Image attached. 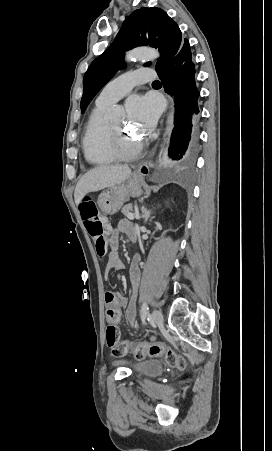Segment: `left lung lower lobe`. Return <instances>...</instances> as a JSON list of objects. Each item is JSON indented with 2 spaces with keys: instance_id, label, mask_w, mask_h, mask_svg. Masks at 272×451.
<instances>
[{
  "instance_id": "0a47b994",
  "label": "left lung lower lobe",
  "mask_w": 272,
  "mask_h": 451,
  "mask_svg": "<svg viewBox=\"0 0 272 451\" xmlns=\"http://www.w3.org/2000/svg\"><path fill=\"white\" fill-rule=\"evenodd\" d=\"M166 92H171L175 100L174 129L171 137L169 156L172 166L184 168L195 157L198 139V98L195 83V64L192 61L190 45L184 39L174 58L157 71Z\"/></svg>"
}]
</instances>
